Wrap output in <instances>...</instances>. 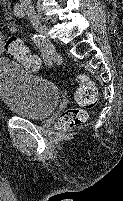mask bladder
<instances>
[{
    "instance_id": "31cf9c89",
    "label": "bladder",
    "mask_w": 123,
    "mask_h": 201,
    "mask_svg": "<svg viewBox=\"0 0 123 201\" xmlns=\"http://www.w3.org/2000/svg\"><path fill=\"white\" fill-rule=\"evenodd\" d=\"M59 98L52 81L27 72L16 60L0 57V101L17 116L44 119L55 110Z\"/></svg>"
}]
</instances>
